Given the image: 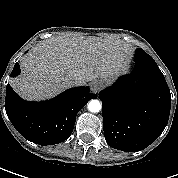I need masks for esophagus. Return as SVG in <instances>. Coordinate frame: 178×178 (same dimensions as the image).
<instances>
[{
	"label": "esophagus",
	"instance_id": "34e87169",
	"mask_svg": "<svg viewBox=\"0 0 178 178\" xmlns=\"http://www.w3.org/2000/svg\"><path fill=\"white\" fill-rule=\"evenodd\" d=\"M103 86V82L101 80H95L91 84V91L93 93H97Z\"/></svg>",
	"mask_w": 178,
	"mask_h": 178
}]
</instances>
